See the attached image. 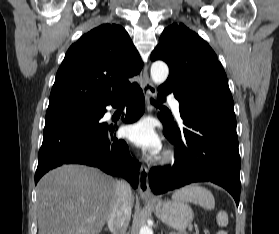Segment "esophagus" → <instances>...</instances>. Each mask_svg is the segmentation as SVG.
<instances>
[{
  "mask_svg": "<svg viewBox=\"0 0 279 234\" xmlns=\"http://www.w3.org/2000/svg\"><path fill=\"white\" fill-rule=\"evenodd\" d=\"M142 90L146 99L147 108L150 107V99L155 98L157 91L156 87L152 83V81L149 78L148 74V65L146 64L143 69V84H142ZM148 168L146 166H142L140 170L139 175V186L138 191L140 196L143 199L151 200L153 199V195L149 186V177H148Z\"/></svg>",
  "mask_w": 279,
  "mask_h": 234,
  "instance_id": "esophagus-1",
  "label": "esophagus"
}]
</instances>
